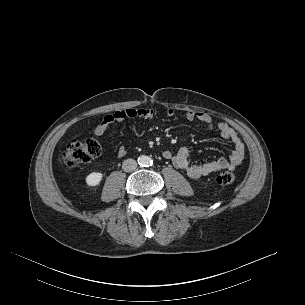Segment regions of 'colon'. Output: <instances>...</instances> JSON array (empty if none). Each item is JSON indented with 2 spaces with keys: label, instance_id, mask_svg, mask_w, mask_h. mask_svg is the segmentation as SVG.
<instances>
[{
  "label": "colon",
  "instance_id": "5ec220e1",
  "mask_svg": "<svg viewBox=\"0 0 305 305\" xmlns=\"http://www.w3.org/2000/svg\"><path fill=\"white\" fill-rule=\"evenodd\" d=\"M101 151V142L96 137L85 140L72 139L61 154V162L66 168H75L99 157ZM216 180L221 185H228L235 181V175L228 170H223Z\"/></svg>",
  "mask_w": 305,
  "mask_h": 305
}]
</instances>
